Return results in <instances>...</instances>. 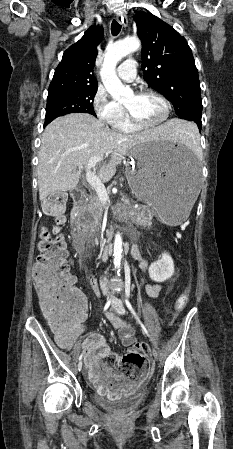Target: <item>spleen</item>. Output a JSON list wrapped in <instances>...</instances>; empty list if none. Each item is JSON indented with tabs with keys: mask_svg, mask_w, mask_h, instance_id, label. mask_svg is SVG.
I'll return each instance as SVG.
<instances>
[{
	"mask_svg": "<svg viewBox=\"0 0 233 449\" xmlns=\"http://www.w3.org/2000/svg\"><path fill=\"white\" fill-rule=\"evenodd\" d=\"M178 138L182 143L193 147L195 151L198 150V135L195 124L183 125L182 131L178 133Z\"/></svg>",
	"mask_w": 233,
	"mask_h": 449,
	"instance_id": "3e777b00",
	"label": "spleen"
}]
</instances>
